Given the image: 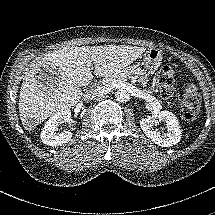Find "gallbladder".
I'll return each mask as SVG.
<instances>
[{"mask_svg":"<svg viewBox=\"0 0 215 215\" xmlns=\"http://www.w3.org/2000/svg\"><path fill=\"white\" fill-rule=\"evenodd\" d=\"M41 73H44V74H47L48 76H51V73L48 72L45 68H43V69L41 70ZM45 82H46V80H45Z\"/></svg>","mask_w":215,"mask_h":215,"instance_id":"1","label":"gallbladder"}]
</instances>
